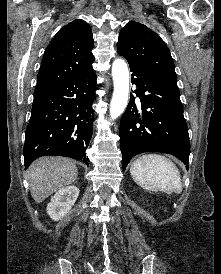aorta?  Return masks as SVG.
I'll return each instance as SVG.
<instances>
[{
    "instance_id": "1",
    "label": "aorta",
    "mask_w": 221,
    "mask_h": 274,
    "mask_svg": "<svg viewBox=\"0 0 221 274\" xmlns=\"http://www.w3.org/2000/svg\"><path fill=\"white\" fill-rule=\"evenodd\" d=\"M112 77L114 91L110 103V118L119 117L125 110L129 95V72L128 66L123 59H116L112 65Z\"/></svg>"
}]
</instances>
